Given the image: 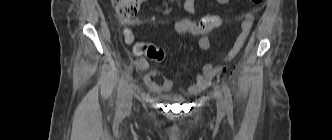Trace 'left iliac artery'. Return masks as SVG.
<instances>
[{"mask_svg": "<svg viewBox=\"0 0 332 140\" xmlns=\"http://www.w3.org/2000/svg\"><path fill=\"white\" fill-rule=\"evenodd\" d=\"M223 89L225 94V101L227 104V108L232 111L233 109V103H232V96L229 87L226 85V83H223Z\"/></svg>", "mask_w": 332, "mask_h": 140, "instance_id": "44dca946", "label": "left iliac artery"}]
</instances>
